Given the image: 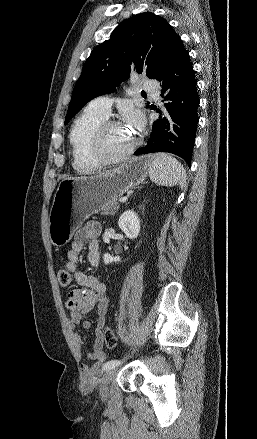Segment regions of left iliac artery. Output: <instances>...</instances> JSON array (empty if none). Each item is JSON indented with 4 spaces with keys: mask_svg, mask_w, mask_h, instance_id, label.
Listing matches in <instances>:
<instances>
[{
    "mask_svg": "<svg viewBox=\"0 0 257 439\" xmlns=\"http://www.w3.org/2000/svg\"><path fill=\"white\" fill-rule=\"evenodd\" d=\"M119 363L120 361L118 360H110L103 365V371L115 368Z\"/></svg>",
    "mask_w": 257,
    "mask_h": 439,
    "instance_id": "1",
    "label": "left iliac artery"
}]
</instances>
